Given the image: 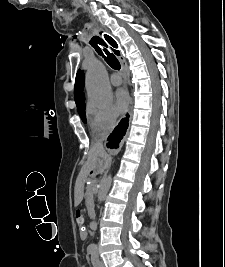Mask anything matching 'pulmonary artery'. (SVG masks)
<instances>
[{"mask_svg":"<svg viewBox=\"0 0 225 267\" xmlns=\"http://www.w3.org/2000/svg\"><path fill=\"white\" fill-rule=\"evenodd\" d=\"M110 82L114 86H119L122 83V78L119 74H112L110 78Z\"/></svg>","mask_w":225,"mask_h":267,"instance_id":"pulmonary-artery-1","label":"pulmonary artery"}]
</instances>
